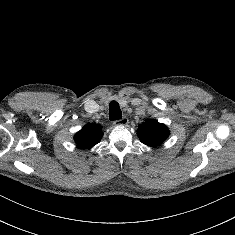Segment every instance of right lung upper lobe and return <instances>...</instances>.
Returning a JSON list of instances; mask_svg holds the SVG:
<instances>
[{
  "label": "right lung upper lobe",
  "mask_w": 235,
  "mask_h": 235,
  "mask_svg": "<svg viewBox=\"0 0 235 235\" xmlns=\"http://www.w3.org/2000/svg\"><path fill=\"white\" fill-rule=\"evenodd\" d=\"M103 136L102 127L97 124H87L80 131H78L74 140L81 148H91L100 142Z\"/></svg>",
  "instance_id": "right-lung-upper-lobe-1"
}]
</instances>
